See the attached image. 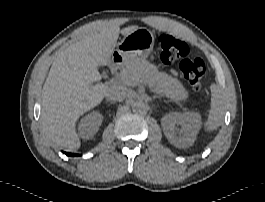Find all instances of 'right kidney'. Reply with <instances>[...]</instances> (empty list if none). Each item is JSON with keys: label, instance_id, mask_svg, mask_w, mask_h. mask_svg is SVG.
I'll return each instance as SVG.
<instances>
[{"label": "right kidney", "instance_id": "ca27d5eb", "mask_svg": "<svg viewBox=\"0 0 265 202\" xmlns=\"http://www.w3.org/2000/svg\"><path fill=\"white\" fill-rule=\"evenodd\" d=\"M103 117L97 112L93 111L84 116L79 123V134L83 139H90L97 133L102 124Z\"/></svg>", "mask_w": 265, "mask_h": 202}]
</instances>
